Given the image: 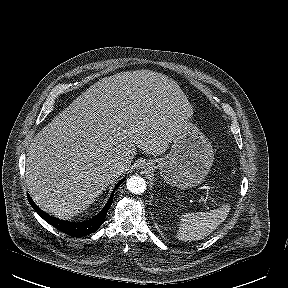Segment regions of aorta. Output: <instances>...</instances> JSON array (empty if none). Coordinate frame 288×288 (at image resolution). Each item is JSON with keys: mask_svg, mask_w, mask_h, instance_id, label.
<instances>
[{"mask_svg": "<svg viewBox=\"0 0 288 288\" xmlns=\"http://www.w3.org/2000/svg\"><path fill=\"white\" fill-rule=\"evenodd\" d=\"M127 189L133 194H142L146 190V181L141 176H131L126 182Z\"/></svg>", "mask_w": 288, "mask_h": 288, "instance_id": "762f6f07", "label": "aorta"}]
</instances>
